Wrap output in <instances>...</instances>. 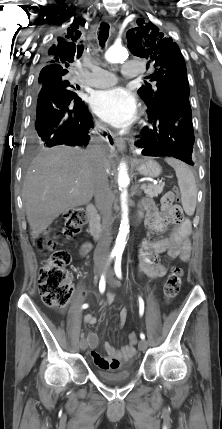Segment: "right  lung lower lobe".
Segmentation results:
<instances>
[{"label": "right lung lower lobe", "mask_w": 222, "mask_h": 429, "mask_svg": "<svg viewBox=\"0 0 222 429\" xmlns=\"http://www.w3.org/2000/svg\"><path fill=\"white\" fill-rule=\"evenodd\" d=\"M36 102L35 130L44 146L87 144L93 123L80 97L57 84L45 83L38 89Z\"/></svg>", "instance_id": "1"}]
</instances>
